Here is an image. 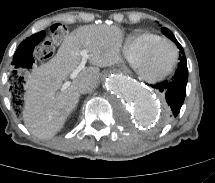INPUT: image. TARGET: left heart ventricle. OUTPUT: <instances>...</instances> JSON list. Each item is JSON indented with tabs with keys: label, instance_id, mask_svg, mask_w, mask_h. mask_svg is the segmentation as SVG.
Instances as JSON below:
<instances>
[{
	"label": "left heart ventricle",
	"instance_id": "1",
	"mask_svg": "<svg viewBox=\"0 0 215 183\" xmlns=\"http://www.w3.org/2000/svg\"><path fill=\"white\" fill-rule=\"evenodd\" d=\"M173 55L172 46L168 43H161L147 56L144 68L150 74L160 73L169 67Z\"/></svg>",
	"mask_w": 215,
	"mask_h": 183
}]
</instances>
